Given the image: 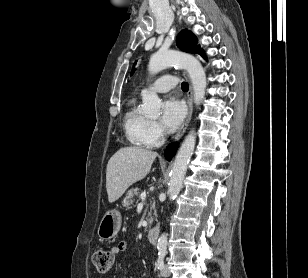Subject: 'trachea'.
Listing matches in <instances>:
<instances>
[{
	"label": "trachea",
	"instance_id": "1",
	"mask_svg": "<svg viewBox=\"0 0 308 278\" xmlns=\"http://www.w3.org/2000/svg\"><path fill=\"white\" fill-rule=\"evenodd\" d=\"M181 89H182L183 91H188V89H189L188 83H187V82H182V84H181Z\"/></svg>",
	"mask_w": 308,
	"mask_h": 278
}]
</instances>
